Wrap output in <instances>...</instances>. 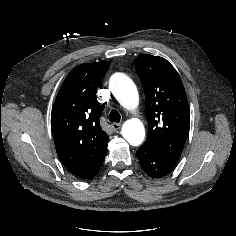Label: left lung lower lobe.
I'll return each instance as SVG.
<instances>
[{"instance_id":"obj_1","label":"left lung lower lobe","mask_w":236,"mask_h":236,"mask_svg":"<svg viewBox=\"0 0 236 236\" xmlns=\"http://www.w3.org/2000/svg\"><path fill=\"white\" fill-rule=\"evenodd\" d=\"M142 169L153 178H162L172 172L177 163L162 157L142 145L136 152Z\"/></svg>"}]
</instances>
